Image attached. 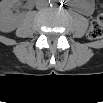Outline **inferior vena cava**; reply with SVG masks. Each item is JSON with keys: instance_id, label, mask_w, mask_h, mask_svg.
Listing matches in <instances>:
<instances>
[{"instance_id": "1", "label": "inferior vena cava", "mask_w": 103, "mask_h": 103, "mask_svg": "<svg viewBox=\"0 0 103 103\" xmlns=\"http://www.w3.org/2000/svg\"><path fill=\"white\" fill-rule=\"evenodd\" d=\"M49 3L46 0H39L36 2V8L38 10H43L48 7Z\"/></svg>"}]
</instances>
